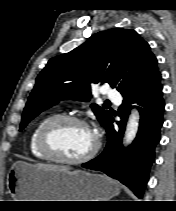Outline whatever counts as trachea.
Wrapping results in <instances>:
<instances>
[{
    "mask_svg": "<svg viewBox=\"0 0 176 211\" xmlns=\"http://www.w3.org/2000/svg\"><path fill=\"white\" fill-rule=\"evenodd\" d=\"M106 103L110 104V102H109V101H107Z\"/></svg>",
    "mask_w": 176,
    "mask_h": 211,
    "instance_id": "3493384b",
    "label": "trachea"
}]
</instances>
